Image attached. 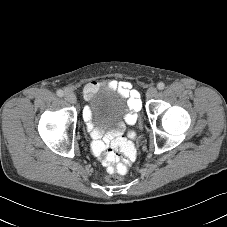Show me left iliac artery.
I'll list each match as a JSON object with an SVG mask.
<instances>
[{
  "mask_svg": "<svg viewBox=\"0 0 227 227\" xmlns=\"http://www.w3.org/2000/svg\"><path fill=\"white\" fill-rule=\"evenodd\" d=\"M157 88L159 90H163L165 88V84L163 82H159L158 85H157Z\"/></svg>",
  "mask_w": 227,
  "mask_h": 227,
  "instance_id": "1",
  "label": "left iliac artery"
}]
</instances>
